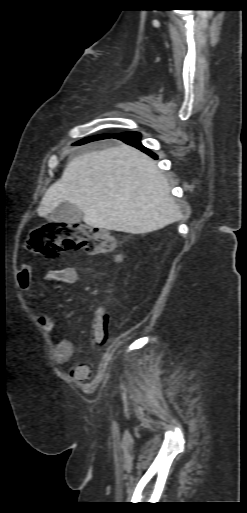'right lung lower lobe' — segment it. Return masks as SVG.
<instances>
[{
    "label": "right lung lower lobe",
    "instance_id": "obj_1",
    "mask_svg": "<svg viewBox=\"0 0 247 513\" xmlns=\"http://www.w3.org/2000/svg\"><path fill=\"white\" fill-rule=\"evenodd\" d=\"M105 138L120 139V140L124 141L125 143L130 144V145L142 150L143 152L147 153L151 157L157 159V156L153 152H151L150 150H148L141 144L140 133H138V132H124V133H120V134H116V135L105 136ZM81 143L82 142H78L77 144L80 145Z\"/></svg>",
    "mask_w": 247,
    "mask_h": 513
}]
</instances>
